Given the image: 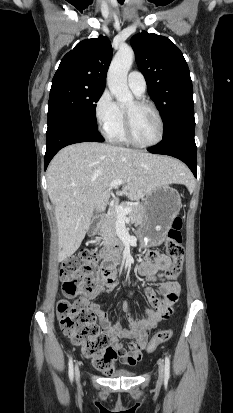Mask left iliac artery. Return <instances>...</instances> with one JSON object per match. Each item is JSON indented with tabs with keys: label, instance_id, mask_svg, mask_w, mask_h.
Masks as SVG:
<instances>
[{
	"label": "left iliac artery",
	"instance_id": "44dca946",
	"mask_svg": "<svg viewBox=\"0 0 233 413\" xmlns=\"http://www.w3.org/2000/svg\"><path fill=\"white\" fill-rule=\"evenodd\" d=\"M165 380L168 381L170 378V359L168 356L165 357Z\"/></svg>",
	"mask_w": 233,
	"mask_h": 413
}]
</instances>
